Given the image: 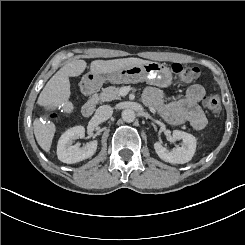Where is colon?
Instances as JSON below:
<instances>
[{
    "mask_svg": "<svg viewBox=\"0 0 245 245\" xmlns=\"http://www.w3.org/2000/svg\"><path fill=\"white\" fill-rule=\"evenodd\" d=\"M174 74L179 76L181 79L186 81H191L198 78L201 74V71L197 67H191L189 65L175 63L171 67ZM204 107L210 113L216 114L221 110V100L217 95H209L203 99ZM51 118H57L58 115L56 113L50 114Z\"/></svg>",
    "mask_w": 245,
    "mask_h": 245,
    "instance_id": "colon-1",
    "label": "colon"
}]
</instances>
